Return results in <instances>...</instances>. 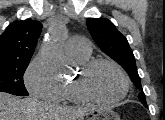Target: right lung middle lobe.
Masks as SVG:
<instances>
[{"mask_svg":"<svg viewBox=\"0 0 165 120\" xmlns=\"http://www.w3.org/2000/svg\"><path fill=\"white\" fill-rule=\"evenodd\" d=\"M30 59H0V92L27 96L23 75Z\"/></svg>","mask_w":165,"mask_h":120,"instance_id":"right-lung-middle-lobe-1","label":"right lung middle lobe"}]
</instances>
